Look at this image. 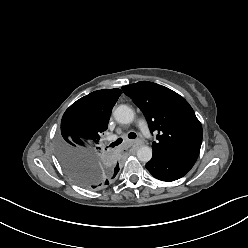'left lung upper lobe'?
<instances>
[{
  "instance_id": "1",
  "label": "left lung upper lobe",
  "mask_w": 248,
  "mask_h": 248,
  "mask_svg": "<svg viewBox=\"0 0 248 248\" xmlns=\"http://www.w3.org/2000/svg\"><path fill=\"white\" fill-rule=\"evenodd\" d=\"M145 115L150 131L158 132L153 153L160 155L200 152L202 126L188 102L156 83L141 81L122 87Z\"/></svg>"
}]
</instances>
